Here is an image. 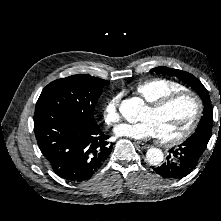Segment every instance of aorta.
I'll return each instance as SVG.
<instances>
[{
  "mask_svg": "<svg viewBox=\"0 0 221 221\" xmlns=\"http://www.w3.org/2000/svg\"><path fill=\"white\" fill-rule=\"evenodd\" d=\"M141 108L142 103L139 100L127 99L121 103L120 112L127 121L135 122L138 119V114ZM163 158V152L158 148H150L146 153L147 161L154 166L160 165Z\"/></svg>",
  "mask_w": 221,
  "mask_h": 221,
  "instance_id": "762f6f07",
  "label": "aorta"
}]
</instances>
